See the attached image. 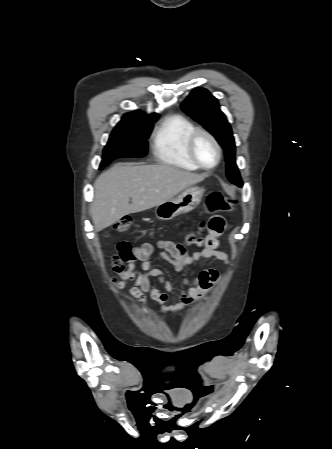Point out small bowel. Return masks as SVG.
Wrapping results in <instances>:
<instances>
[{
    "label": "small bowel",
    "instance_id": "1",
    "mask_svg": "<svg viewBox=\"0 0 332 449\" xmlns=\"http://www.w3.org/2000/svg\"><path fill=\"white\" fill-rule=\"evenodd\" d=\"M228 226L226 220L221 216H215L207 223L202 222L199 226V237L197 239L199 250L192 254L187 251L182 243L171 240L158 242V247L163 250L158 256L153 255L154 246L150 243L134 247L136 259L142 261L141 270H136L132 262L120 267L114 266L116 275L112 278L113 285L123 289L128 282H132L129 289L132 297L145 303L146 297L149 295L162 305L161 310L165 313H177L202 301L218 284L220 273L216 269H204L190 281L188 279L189 270L195 262L203 259H216L226 267L230 266L229 255L218 249L220 236ZM204 230H207L206 235L201 234ZM157 260L170 263L177 272L184 275L185 287L179 291L178 303L173 306H164L169 299V294L174 292L175 287L164 270L153 267V263ZM153 278L158 281L165 292L152 282Z\"/></svg>",
    "mask_w": 332,
    "mask_h": 449
}]
</instances>
